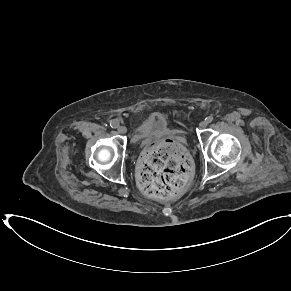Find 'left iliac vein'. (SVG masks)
<instances>
[{"mask_svg": "<svg viewBox=\"0 0 291 291\" xmlns=\"http://www.w3.org/2000/svg\"><path fill=\"white\" fill-rule=\"evenodd\" d=\"M207 125H208V123H207L206 120L201 121L200 124H199L200 128H202V129L206 128Z\"/></svg>", "mask_w": 291, "mask_h": 291, "instance_id": "1", "label": "left iliac vein"}]
</instances>
